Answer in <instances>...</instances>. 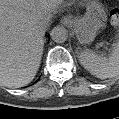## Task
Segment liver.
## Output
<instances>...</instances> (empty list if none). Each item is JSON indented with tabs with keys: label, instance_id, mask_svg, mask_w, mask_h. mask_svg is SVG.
<instances>
[{
	"label": "liver",
	"instance_id": "6515ba94",
	"mask_svg": "<svg viewBox=\"0 0 119 119\" xmlns=\"http://www.w3.org/2000/svg\"><path fill=\"white\" fill-rule=\"evenodd\" d=\"M60 3L0 0V85L23 87L34 79L43 54L44 30ZM41 23L47 24L43 30Z\"/></svg>",
	"mask_w": 119,
	"mask_h": 119
}]
</instances>
